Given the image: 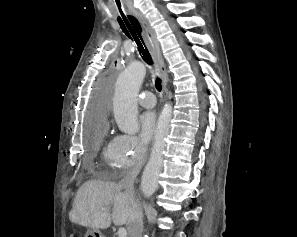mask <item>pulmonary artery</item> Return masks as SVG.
<instances>
[{
  "label": "pulmonary artery",
  "mask_w": 297,
  "mask_h": 237,
  "mask_svg": "<svg viewBox=\"0 0 297 237\" xmlns=\"http://www.w3.org/2000/svg\"><path fill=\"white\" fill-rule=\"evenodd\" d=\"M142 76V72L140 71L139 77ZM138 102L140 105L146 108H152L156 105V100L152 92L144 91L139 95Z\"/></svg>",
  "instance_id": "1"
}]
</instances>
